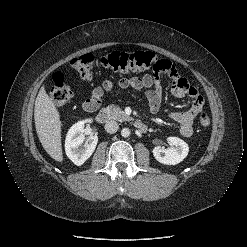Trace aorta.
<instances>
[{
  "label": "aorta",
  "instance_id": "obj_1",
  "mask_svg": "<svg viewBox=\"0 0 247 247\" xmlns=\"http://www.w3.org/2000/svg\"><path fill=\"white\" fill-rule=\"evenodd\" d=\"M130 134H131V131H130V129L129 128H123L122 130H121V135L123 136V137H129L130 136Z\"/></svg>",
  "mask_w": 247,
  "mask_h": 247
}]
</instances>
